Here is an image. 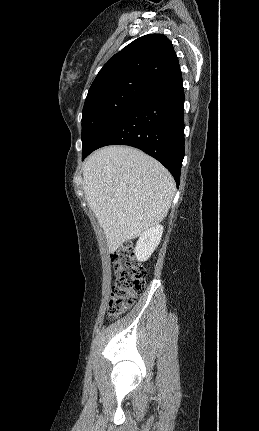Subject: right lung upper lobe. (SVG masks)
Segmentation results:
<instances>
[{
	"mask_svg": "<svg viewBox=\"0 0 259 431\" xmlns=\"http://www.w3.org/2000/svg\"><path fill=\"white\" fill-rule=\"evenodd\" d=\"M180 75L171 41L163 34H149L134 40L110 58L93 81L88 95L132 81L152 88Z\"/></svg>",
	"mask_w": 259,
	"mask_h": 431,
	"instance_id": "1",
	"label": "right lung upper lobe"
}]
</instances>
